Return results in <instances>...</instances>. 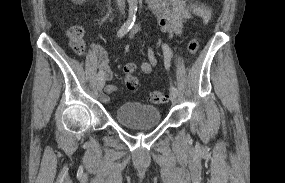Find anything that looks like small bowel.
Returning a JSON list of instances; mask_svg holds the SVG:
<instances>
[{
  "label": "small bowel",
  "mask_w": 285,
  "mask_h": 183,
  "mask_svg": "<svg viewBox=\"0 0 285 183\" xmlns=\"http://www.w3.org/2000/svg\"><path fill=\"white\" fill-rule=\"evenodd\" d=\"M149 9L156 15L159 24V32L168 35L169 39L180 37L186 28L187 21L193 17L200 18L204 24L211 19V11L208 7L199 5L192 0H146ZM140 30L139 25H135L132 34ZM94 51L98 58V68L104 75L105 80L112 79V72L109 67L107 52L100 46H94ZM148 61L140 64V69L145 74H150L157 65L158 60L154 49L147 50ZM105 93L101 94L104 103L109 102L108 94L117 91V87L107 84L104 88Z\"/></svg>",
  "instance_id": "c3829d8e"
}]
</instances>
